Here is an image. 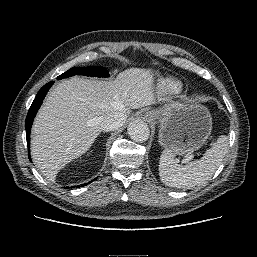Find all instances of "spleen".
I'll list each match as a JSON object with an SVG mask.
<instances>
[{
    "label": "spleen",
    "mask_w": 257,
    "mask_h": 257,
    "mask_svg": "<svg viewBox=\"0 0 257 257\" xmlns=\"http://www.w3.org/2000/svg\"><path fill=\"white\" fill-rule=\"evenodd\" d=\"M228 137L219 136L216 143L199 160L186 165L177 163L171 150L165 149L159 162L160 180L167 186L192 188L212 177L228 150Z\"/></svg>",
    "instance_id": "spleen-1"
}]
</instances>
